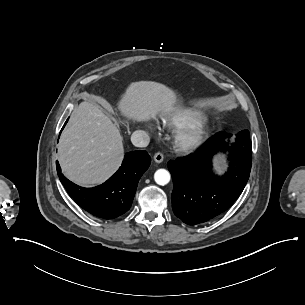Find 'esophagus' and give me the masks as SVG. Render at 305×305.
<instances>
[{
	"label": "esophagus",
	"mask_w": 305,
	"mask_h": 305,
	"mask_svg": "<svg viewBox=\"0 0 305 305\" xmlns=\"http://www.w3.org/2000/svg\"><path fill=\"white\" fill-rule=\"evenodd\" d=\"M164 159V156L162 153L158 152L154 155V160L156 163H161Z\"/></svg>",
	"instance_id": "1"
}]
</instances>
